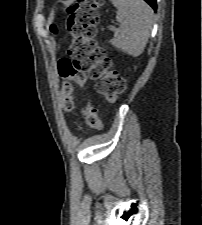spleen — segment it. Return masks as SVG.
<instances>
[{"mask_svg": "<svg viewBox=\"0 0 202 225\" xmlns=\"http://www.w3.org/2000/svg\"><path fill=\"white\" fill-rule=\"evenodd\" d=\"M110 1L117 8L116 20L120 23L110 43L133 57L139 56L152 30L153 10L143 0Z\"/></svg>", "mask_w": 202, "mask_h": 225, "instance_id": "spleen-1", "label": "spleen"}]
</instances>
